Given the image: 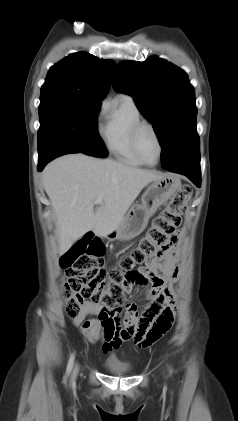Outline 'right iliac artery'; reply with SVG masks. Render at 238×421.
<instances>
[{
  "label": "right iliac artery",
  "instance_id": "obj_1",
  "mask_svg": "<svg viewBox=\"0 0 238 421\" xmlns=\"http://www.w3.org/2000/svg\"><path fill=\"white\" fill-rule=\"evenodd\" d=\"M74 359H75V355L72 354L69 358V361H68V365H67V369H66V377L71 373V370H72L73 364H74Z\"/></svg>",
  "mask_w": 238,
  "mask_h": 421
}]
</instances>
